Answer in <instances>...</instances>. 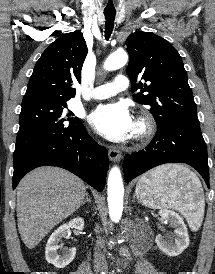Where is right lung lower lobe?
Instances as JSON below:
<instances>
[{
    "label": "right lung lower lobe",
    "instance_id": "1",
    "mask_svg": "<svg viewBox=\"0 0 215 274\" xmlns=\"http://www.w3.org/2000/svg\"><path fill=\"white\" fill-rule=\"evenodd\" d=\"M43 165L67 169L98 191L104 188L109 168L106 149L87 134L83 125L36 146L14 162L13 188L26 173Z\"/></svg>",
    "mask_w": 215,
    "mask_h": 274
}]
</instances>
